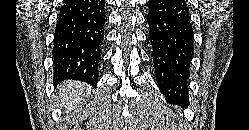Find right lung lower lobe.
<instances>
[{"label":"right lung lower lobe","instance_id":"1","mask_svg":"<svg viewBox=\"0 0 249 130\" xmlns=\"http://www.w3.org/2000/svg\"><path fill=\"white\" fill-rule=\"evenodd\" d=\"M105 13L104 0H67L60 8L53 46L56 82L97 84Z\"/></svg>","mask_w":249,"mask_h":130}]
</instances>
